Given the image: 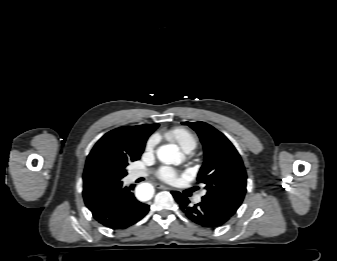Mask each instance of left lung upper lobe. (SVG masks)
Wrapping results in <instances>:
<instances>
[{
  "instance_id": "obj_1",
  "label": "left lung upper lobe",
  "mask_w": 337,
  "mask_h": 261,
  "mask_svg": "<svg viewBox=\"0 0 337 261\" xmlns=\"http://www.w3.org/2000/svg\"><path fill=\"white\" fill-rule=\"evenodd\" d=\"M194 129L203 144L204 163L198 182L207 193L202 201L213 204L232 217L246 193V171L241 157L224 134L205 122H183Z\"/></svg>"
}]
</instances>
